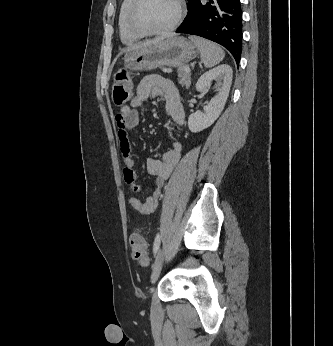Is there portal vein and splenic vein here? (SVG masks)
Returning a JSON list of instances; mask_svg holds the SVG:
<instances>
[{
    "label": "portal vein and splenic vein",
    "mask_w": 333,
    "mask_h": 346,
    "mask_svg": "<svg viewBox=\"0 0 333 346\" xmlns=\"http://www.w3.org/2000/svg\"><path fill=\"white\" fill-rule=\"evenodd\" d=\"M185 72H186V73H190V68H189V67H186V68H185Z\"/></svg>",
    "instance_id": "obj_1"
}]
</instances>
